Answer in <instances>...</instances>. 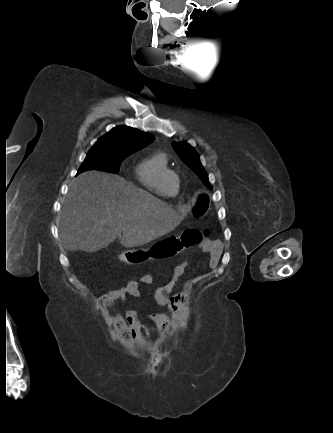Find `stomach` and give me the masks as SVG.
<instances>
[{"label": "stomach", "mask_w": 333, "mask_h": 433, "mask_svg": "<svg viewBox=\"0 0 333 433\" xmlns=\"http://www.w3.org/2000/svg\"><path fill=\"white\" fill-rule=\"evenodd\" d=\"M210 209L209 198L205 192H199L194 208L193 217L200 218L204 216Z\"/></svg>", "instance_id": "stomach-1"}]
</instances>
